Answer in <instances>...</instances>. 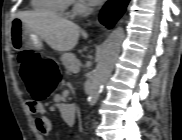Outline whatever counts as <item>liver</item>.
<instances>
[{
	"instance_id": "liver-1",
	"label": "liver",
	"mask_w": 182,
	"mask_h": 140,
	"mask_svg": "<svg viewBox=\"0 0 182 140\" xmlns=\"http://www.w3.org/2000/svg\"><path fill=\"white\" fill-rule=\"evenodd\" d=\"M18 18L56 51H70L78 42L80 27L59 15L47 12H21Z\"/></svg>"
}]
</instances>
